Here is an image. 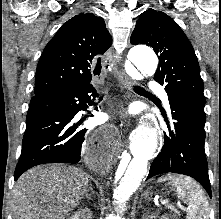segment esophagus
I'll use <instances>...</instances> for the list:
<instances>
[{
  "label": "esophagus",
  "mask_w": 221,
  "mask_h": 219,
  "mask_svg": "<svg viewBox=\"0 0 221 219\" xmlns=\"http://www.w3.org/2000/svg\"><path fill=\"white\" fill-rule=\"evenodd\" d=\"M118 80L121 84V88L122 89H126L127 92L128 90L130 89V79L129 77L127 76V74L123 71V70H120L119 73H118Z\"/></svg>",
  "instance_id": "esophagus-1"
}]
</instances>
